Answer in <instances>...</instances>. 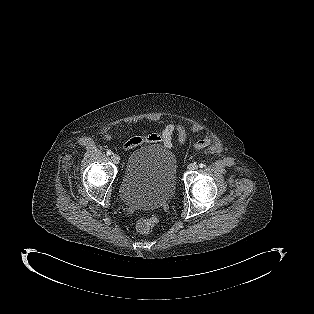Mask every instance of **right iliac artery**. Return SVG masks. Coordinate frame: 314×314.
<instances>
[{"mask_svg":"<svg viewBox=\"0 0 314 314\" xmlns=\"http://www.w3.org/2000/svg\"><path fill=\"white\" fill-rule=\"evenodd\" d=\"M106 153H107V155L113 154L110 150H108Z\"/></svg>","mask_w":314,"mask_h":314,"instance_id":"obj_1","label":"right iliac artery"}]
</instances>
